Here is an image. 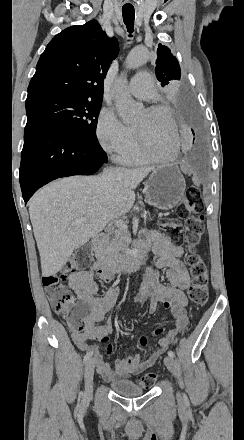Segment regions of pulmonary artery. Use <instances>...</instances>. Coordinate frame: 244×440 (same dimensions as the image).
I'll use <instances>...</instances> for the list:
<instances>
[{
  "label": "pulmonary artery",
  "mask_w": 244,
  "mask_h": 440,
  "mask_svg": "<svg viewBox=\"0 0 244 440\" xmlns=\"http://www.w3.org/2000/svg\"><path fill=\"white\" fill-rule=\"evenodd\" d=\"M129 89L132 94L142 100L154 99L155 91L154 84L151 82V76L149 75L148 69H139L138 75H133L131 77V83L129 84Z\"/></svg>",
  "instance_id": "pulmonary-artery-1"
}]
</instances>
